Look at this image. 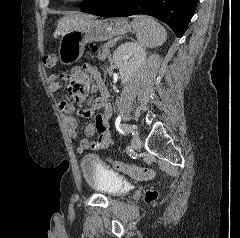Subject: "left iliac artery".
I'll list each match as a JSON object with an SVG mask.
<instances>
[{
  "label": "left iliac artery",
  "instance_id": "left-iliac-artery-1",
  "mask_svg": "<svg viewBox=\"0 0 240 238\" xmlns=\"http://www.w3.org/2000/svg\"><path fill=\"white\" fill-rule=\"evenodd\" d=\"M121 128L122 129H126V132H128V133L132 132V134H133V132L135 130V128L133 126H130V125H123Z\"/></svg>",
  "mask_w": 240,
  "mask_h": 238
}]
</instances>
